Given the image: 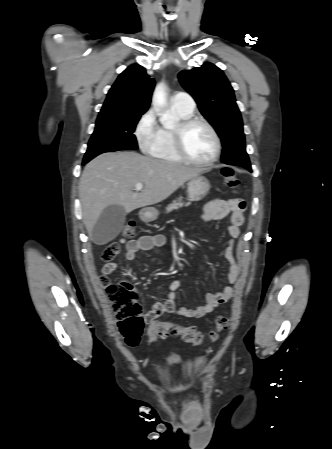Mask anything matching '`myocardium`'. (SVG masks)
I'll use <instances>...</instances> for the list:
<instances>
[{"mask_svg":"<svg viewBox=\"0 0 332 449\" xmlns=\"http://www.w3.org/2000/svg\"><path fill=\"white\" fill-rule=\"evenodd\" d=\"M195 124H202L204 125L211 133L214 143H215V151L213 156L206 160V161H199L194 158H192L186 151L184 146V135L186 130ZM172 136H173V146L176 154L180 157L182 161H185L187 163L196 165V166H211L213 165L220 157L221 154V140L219 137L218 132L214 128V126L208 122L204 118L200 117H188L182 120H179L176 125L172 128Z\"/></svg>","mask_w":332,"mask_h":449,"instance_id":"1","label":"myocardium"}]
</instances>
